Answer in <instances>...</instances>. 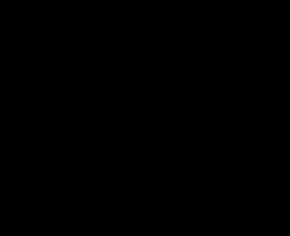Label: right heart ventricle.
<instances>
[{"instance_id": "e07e8e85", "label": "right heart ventricle", "mask_w": 290, "mask_h": 236, "mask_svg": "<svg viewBox=\"0 0 290 236\" xmlns=\"http://www.w3.org/2000/svg\"><path fill=\"white\" fill-rule=\"evenodd\" d=\"M175 62L174 57H164L149 63L139 74L141 85L148 90L155 88Z\"/></svg>"}]
</instances>
